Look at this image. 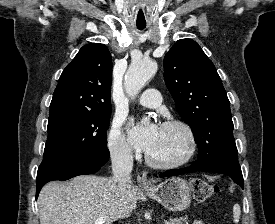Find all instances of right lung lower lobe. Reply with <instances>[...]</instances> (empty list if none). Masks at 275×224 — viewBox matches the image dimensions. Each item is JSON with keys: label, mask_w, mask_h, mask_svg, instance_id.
Returning <instances> with one entry per match:
<instances>
[{"label": "right lung lower lobe", "mask_w": 275, "mask_h": 224, "mask_svg": "<svg viewBox=\"0 0 275 224\" xmlns=\"http://www.w3.org/2000/svg\"><path fill=\"white\" fill-rule=\"evenodd\" d=\"M108 148L78 155H65L43 159L36 178V199L41 188L49 181H64L78 175L97 172L109 160Z\"/></svg>", "instance_id": "obj_1"}]
</instances>
